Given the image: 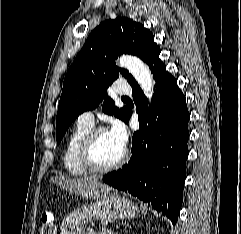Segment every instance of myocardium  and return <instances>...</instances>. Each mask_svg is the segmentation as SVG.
I'll use <instances>...</instances> for the list:
<instances>
[{"instance_id": "1", "label": "myocardium", "mask_w": 241, "mask_h": 234, "mask_svg": "<svg viewBox=\"0 0 241 234\" xmlns=\"http://www.w3.org/2000/svg\"><path fill=\"white\" fill-rule=\"evenodd\" d=\"M107 132V129L104 127L92 128L84 137L81 148H80V159L83 166L92 173H108L111 172L120 166H122L128 157V152L126 149L123 150L121 157L114 163L102 166L99 165L94 158V146L97 136L100 133Z\"/></svg>"}]
</instances>
